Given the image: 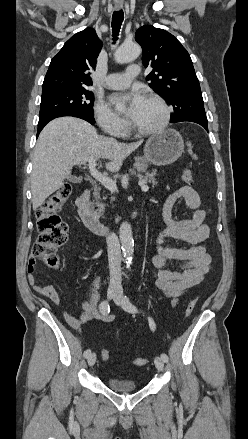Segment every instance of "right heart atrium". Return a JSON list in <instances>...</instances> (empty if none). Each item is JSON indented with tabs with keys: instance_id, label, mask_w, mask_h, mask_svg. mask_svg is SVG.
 <instances>
[{
	"instance_id": "d8ad5b80",
	"label": "right heart atrium",
	"mask_w": 248,
	"mask_h": 439,
	"mask_svg": "<svg viewBox=\"0 0 248 439\" xmlns=\"http://www.w3.org/2000/svg\"><path fill=\"white\" fill-rule=\"evenodd\" d=\"M94 114L97 124L106 134L120 137L126 133L127 121L105 103L98 102L95 105Z\"/></svg>"
}]
</instances>
